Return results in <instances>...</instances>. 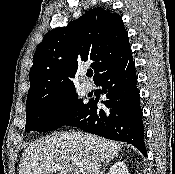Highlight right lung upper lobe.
<instances>
[{"mask_svg":"<svg viewBox=\"0 0 175 174\" xmlns=\"http://www.w3.org/2000/svg\"><path fill=\"white\" fill-rule=\"evenodd\" d=\"M122 18L103 8H94L66 27L49 31L33 57L27 103L75 88L80 63L89 62L94 81L112 64L130 53Z\"/></svg>","mask_w":175,"mask_h":174,"instance_id":"right-lung-upper-lobe-1","label":"right lung upper lobe"}]
</instances>
